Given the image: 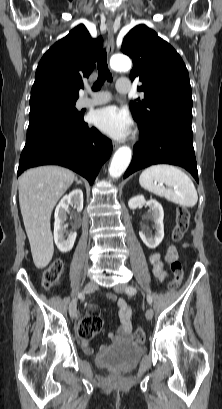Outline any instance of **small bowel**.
<instances>
[{"instance_id":"obj_1","label":"small bowel","mask_w":222,"mask_h":409,"mask_svg":"<svg viewBox=\"0 0 222 409\" xmlns=\"http://www.w3.org/2000/svg\"><path fill=\"white\" fill-rule=\"evenodd\" d=\"M184 247H188V244L185 243ZM177 259V251L174 246L170 245L167 247L165 256L163 257L161 253L155 252L152 253L149 257V261L152 265V270L154 276L159 281H164L168 277V273L165 270V262H170L171 260ZM108 299L115 303L118 309V316L120 320V325L115 332L108 333V338L114 343L119 344L123 342H132L133 341V311L128 306L125 300L117 298L115 295H108ZM92 310H97L95 307L91 308ZM89 317L87 314L85 318ZM96 318L101 321V317L98 312L91 315V318ZM81 345L86 354L92 355L95 350L89 346V341L82 339ZM108 345L103 344L100 349L105 351Z\"/></svg>"}]
</instances>
